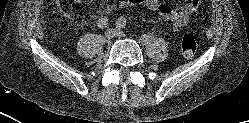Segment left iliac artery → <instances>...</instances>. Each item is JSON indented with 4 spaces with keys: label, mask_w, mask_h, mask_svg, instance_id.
I'll return each mask as SVG.
<instances>
[{
    "label": "left iliac artery",
    "mask_w": 249,
    "mask_h": 123,
    "mask_svg": "<svg viewBox=\"0 0 249 123\" xmlns=\"http://www.w3.org/2000/svg\"><path fill=\"white\" fill-rule=\"evenodd\" d=\"M116 26L119 29H123L126 26V19L124 17H120L116 22Z\"/></svg>",
    "instance_id": "1"
}]
</instances>
